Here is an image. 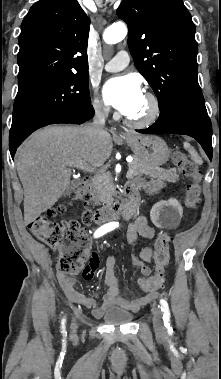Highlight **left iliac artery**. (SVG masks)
<instances>
[{"label": "left iliac artery", "mask_w": 221, "mask_h": 379, "mask_svg": "<svg viewBox=\"0 0 221 379\" xmlns=\"http://www.w3.org/2000/svg\"><path fill=\"white\" fill-rule=\"evenodd\" d=\"M160 306H161L162 312L164 313L163 314L164 325L166 327H169V325H170V310H169V306H168L167 301L165 299H161L160 300Z\"/></svg>", "instance_id": "1"}]
</instances>
